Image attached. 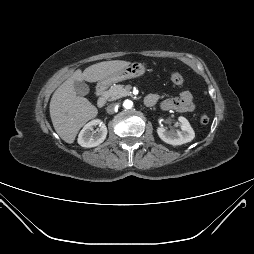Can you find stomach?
<instances>
[{"label": "stomach", "mask_w": 254, "mask_h": 254, "mask_svg": "<svg viewBox=\"0 0 254 254\" xmlns=\"http://www.w3.org/2000/svg\"><path fill=\"white\" fill-rule=\"evenodd\" d=\"M144 73H145V65L141 62H133L124 69L102 79L99 82V84L101 86H107L112 83L142 76Z\"/></svg>", "instance_id": "obj_1"}]
</instances>
